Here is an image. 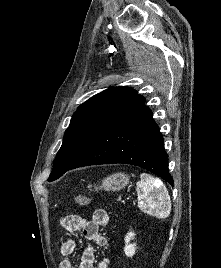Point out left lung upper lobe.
I'll return each instance as SVG.
<instances>
[{
    "mask_svg": "<svg viewBox=\"0 0 221 268\" xmlns=\"http://www.w3.org/2000/svg\"><path fill=\"white\" fill-rule=\"evenodd\" d=\"M144 103L145 98L134 89L113 87L81 104L65 131L48 181L62 176L111 123Z\"/></svg>",
    "mask_w": 221,
    "mask_h": 268,
    "instance_id": "5c2ea615",
    "label": "left lung upper lobe"
}]
</instances>
